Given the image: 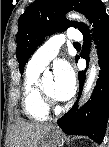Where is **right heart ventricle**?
<instances>
[{"label":"right heart ventricle","instance_id":"obj_1","mask_svg":"<svg viewBox=\"0 0 109 147\" xmlns=\"http://www.w3.org/2000/svg\"><path fill=\"white\" fill-rule=\"evenodd\" d=\"M41 70L27 65L22 84V106L25 114L32 120L44 121L49 109L39 93L38 77Z\"/></svg>","mask_w":109,"mask_h":147}]
</instances>
